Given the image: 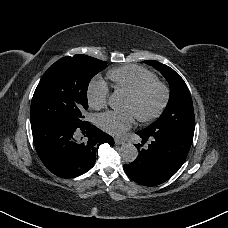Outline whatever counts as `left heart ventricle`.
Here are the masks:
<instances>
[{
    "label": "left heart ventricle",
    "instance_id": "1",
    "mask_svg": "<svg viewBox=\"0 0 228 228\" xmlns=\"http://www.w3.org/2000/svg\"><path fill=\"white\" fill-rule=\"evenodd\" d=\"M160 91L155 90L151 94L145 96L140 102H133L129 98L126 99L125 104L121 110L131 112L140 117H145L151 114L159 101Z\"/></svg>",
    "mask_w": 228,
    "mask_h": 228
}]
</instances>
